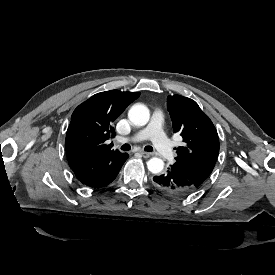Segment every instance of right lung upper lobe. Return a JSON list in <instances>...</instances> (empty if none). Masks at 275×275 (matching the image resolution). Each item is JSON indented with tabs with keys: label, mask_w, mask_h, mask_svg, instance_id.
<instances>
[{
	"label": "right lung upper lobe",
	"mask_w": 275,
	"mask_h": 275,
	"mask_svg": "<svg viewBox=\"0 0 275 275\" xmlns=\"http://www.w3.org/2000/svg\"><path fill=\"white\" fill-rule=\"evenodd\" d=\"M139 95V92L110 90L97 93L80 104L71 116L66 133L68 161L114 151L112 144H105L114 135L113 122Z\"/></svg>",
	"instance_id": "1"
}]
</instances>
